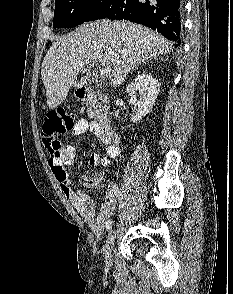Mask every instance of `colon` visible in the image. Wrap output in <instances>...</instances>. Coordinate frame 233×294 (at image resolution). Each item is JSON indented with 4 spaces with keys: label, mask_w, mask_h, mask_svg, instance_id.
<instances>
[{
    "label": "colon",
    "mask_w": 233,
    "mask_h": 294,
    "mask_svg": "<svg viewBox=\"0 0 233 294\" xmlns=\"http://www.w3.org/2000/svg\"><path fill=\"white\" fill-rule=\"evenodd\" d=\"M75 124L72 113L63 108L49 111L42 124V140L52 157H59L61 154V139L68 133ZM85 184L95 186L94 178H86Z\"/></svg>",
    "instance_id": "colon-1"
}]
</instances>
